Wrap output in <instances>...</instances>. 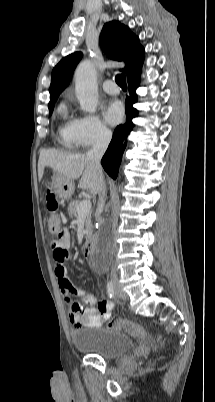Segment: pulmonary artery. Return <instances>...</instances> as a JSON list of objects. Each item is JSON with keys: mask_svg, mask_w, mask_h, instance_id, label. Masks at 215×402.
<instances>
[{"mask_svg": "<svg viewBox=\"0 0 215 402\" xmlns=\"http://www.w3.org/2000/svg\"><path fill=\"white\" fill-rule=\"evenodd\" d=\"M103 90L111 95H117L120 92L119 87L113 80H106L102 84Z\"/></svg>", "mask_w": 215, "mask_h": 402, "instance_id": "obj_1", "label": "pulmonary artery"}]
</instances>
